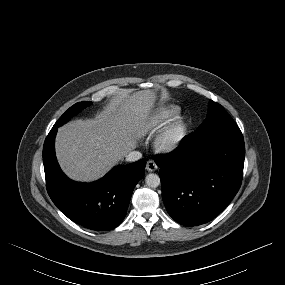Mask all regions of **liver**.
I'll list each match as a JSON object with an SVG mask.
<instances>
[{
  "mask_svg": "<svg viewBox=\"0 0 285 285\" xmlns=\"http://www.w3.org/2000/svg\"><path fill=\"white\" fill-rule=\"evenodd\" d=\"M157 92H122L93 119L74 120L58 130L56 155L64 173L76 181L104 175L137 146L144 135Z\"/></svg>",
  "mask_w": 285,
  "mask_h": 285,
  "instance_id": "1",
  "label": "liver"
}]
</instances>
